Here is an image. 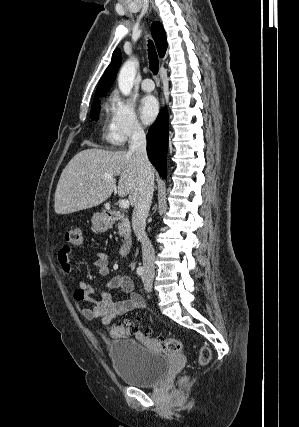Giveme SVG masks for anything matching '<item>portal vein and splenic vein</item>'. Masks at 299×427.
Masks as SVG:
<instances>
[{
	"mask_svg": "<svg viewBox=\"0 0 299 427\" xmlns=\"http://www.w3.org/2000/svg\"><path fill=\"white\" fill-rule=\"evenodd\" d=\"M103 178H104V179H109V178H111V174H109V173H105V174L103 175ZM119 206H120L121 208H123V209H126V208H128V207L130 206V202H129L128 200H126V199H122V200H120V202H119Z\"/></svg>",
	"mask_w": 299,
	"mask_h": 427,
	"instance_id": "obj_1",
	"label": "portal vein and splenic vein"
}]
</instances>
